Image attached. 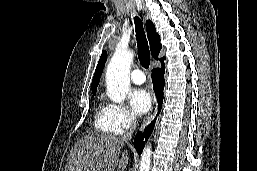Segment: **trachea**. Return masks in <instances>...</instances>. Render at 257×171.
Listing matches in <instances>:
<instances>
[{
    "instance_id": "obj_1",
    "label": "trachea",
    "mask_w": 257,
    "mask_h": 171,
    "mask_svg": "<svg viewBox=\"0 0 257 171\" xmlns=\"http://www.w3.org/2000/svg\"><path fill=\"white\" fill-rule=\"evenodd\" d=\"M135 22V31H136V39H137V47H138V57L141 65L148 69L150 65V51L148 42L146 39L145 31L143 28V23L139 17L134 18Z\"/></svg>"
}]
</instances>
